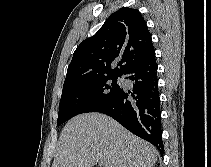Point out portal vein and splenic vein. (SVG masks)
I'll use <instances>...</instances> for the list:
<instances>
[{"instance_id": "obj_1", "label": "portal vein and splenic vein", "mask_w": 211, "mask_h": 167, "mask_svg": "<svg viewBox=\"0 0 211 167\" xmlns=\"http://www.w3.org/2000/svg\"><path fill=\"white\" fill-rule=\"evenodd\" d=\"M100 164H101V167H108L107 161H101Z\"/></svg>"}]
</instances>
